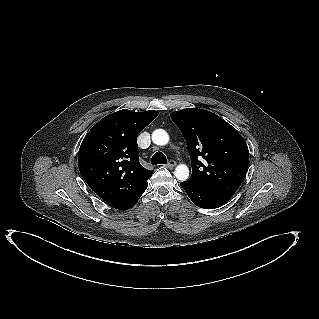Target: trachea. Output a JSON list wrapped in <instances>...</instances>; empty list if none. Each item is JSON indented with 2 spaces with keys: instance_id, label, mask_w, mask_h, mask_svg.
<instances>
[{
  "instance_id": "3493384b",
  "label": "trachea",
  "mask_w": 319,
  "mask_h": 319,
  "mask_svg": "<svg viewBox=\"0 0 319 319\" xmlns=\"http://www.w3.org/2000/svg\"><path fill=\"white\" fill-rule=\"evenodd\" d=\"M151 163L153 165L166 164L167 163L166 156L162 152H156L151 158Z\"/></svg>"
}]
</instances>
